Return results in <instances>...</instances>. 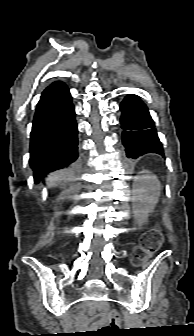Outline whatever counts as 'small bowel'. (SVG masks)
Wrapping results in <instances>:
<instances>
[{"instance_id": "obj_1", "label": "small bowel", "mask_w": 194, "mask_h": 336, "mask_svg": "<svg viewBox=\"0 0 194 336\" xmlns=\"http://www.w3.org/2000/svg\"><path fill=\"white\" fill-rule=\"evenodd\" d=\"M102 309H106V305H103V306H102Z\"/></svg>"}]
</instances>
